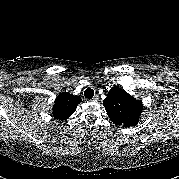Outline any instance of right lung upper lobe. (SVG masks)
<instances>
[{
	"instance_id": "1",
	"label": "right lung upper lobe",
	"mask_w": 179,
	"mask_h": 179,
	"mask_svg": "<svg viewBox=\"0 0 179 179\" xmlns=\"http://www.w3.org/2000/svg\"><path fill=\"white\" fill-rule=\"evenodd\" d=\"M81 102L79 96L68 92L60 93L53 105L52 115L57 120L68 119L76 110L77 105Z\"/></svg>"
}]
</instances>
